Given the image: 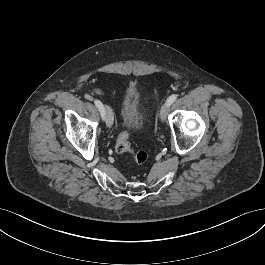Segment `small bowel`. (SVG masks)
I'll use <instances>...</instances> for the list:
<instances>
[{"instance_id": "small-bowel-1", "label": "small bowel", "mask_w": 265, "mask_h": 265, "mask_svg": "<svg viewBox=\"0 0 265 265\" xmlns=\"http://www.w3.org/2000/svg\"><path fill=\"white\" fill-rule=\"evenodd\" d=\"M93 93L100 96L104 95V92L99 88H94Z\"/></svg>"}]
</instances>
